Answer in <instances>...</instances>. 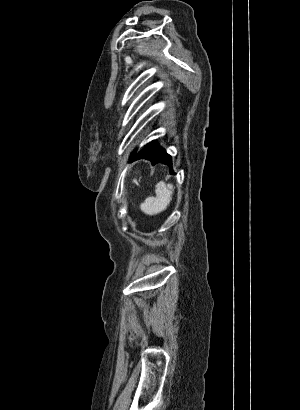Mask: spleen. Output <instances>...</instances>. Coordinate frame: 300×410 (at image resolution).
Here are the masks:
<instances>
[{"mask_svg": "<svg viewBox=\"0 0 300 410\" xmlns=\"http://www.w3.org/2000/svg\"><path fill=\"white\" fill-rule=\"evenodd\" d=\"M173 191L174 188L172 184H165L163 181H160L156 185V196L147 197L145 201L140 205V209L148 215L160 213L169 205L172 199Z\"/></svg>", "mask_w": 300, "mask_h": 410, "instance_id": "3e777b00", "label": "spleen"}]
</instances>
